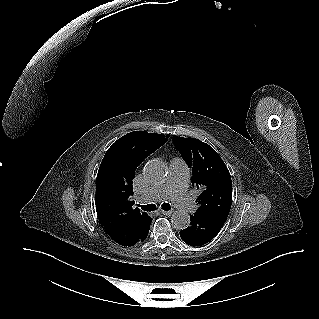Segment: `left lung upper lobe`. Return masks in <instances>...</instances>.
<instances>
[{
	"mask_svg": "<svg viewBox=\"0 0 319 319\" xmlns=\"http://www.w3.org/2000/svg\"><path fill=\"white\" fill-rule=\"evenodd\" d=\"M174 145L192 169V185L200 191L198 210L194 214L228 217L232 203V181L229 171L216 151L194 138L173 135Z\"/></svg>",
	"mask_w": 319,
	"mask_h": 319,
	"instance_id": "left-lung-upper-lobe-1",
	"label": "left lung upper lobe"
}]
</instances>
